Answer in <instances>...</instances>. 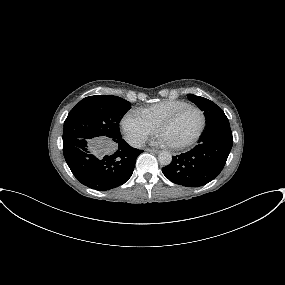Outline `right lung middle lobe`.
Returning <instances> with one entry per match:
<instances>
[{"instance_id": "obj_1", "label": "right lung middle lobe", "mask_w": 285, "mask_h": 285, "mask_svg": "<svg viewBox=\"0 0 285 285\" xmlns=\"http://www.w3.org/2000/svg\"><path fill=\"white\" fill-rule=\"evenodd\" d=\"M130 108V102L113 95L84 98L69 112L64 122L63 142L121 138L119 123Z\"/></svg>"}]
</instances>
